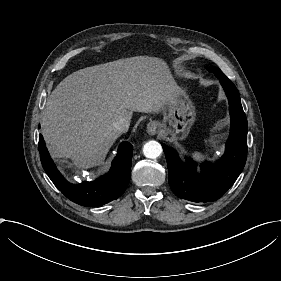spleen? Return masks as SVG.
Instances as JSON below:
<instances>
[{
	"mask_svg": "<svg viewBox=\"0 0 281 281\" xmlns=\"http://www.w3.org/2000/svg\"><path fill=\"white\" fill-rule=\"evenodd\" d=\"M190 157L192 158V160L195 163H198V164H203L206 159V155L203 152H201L200 150L191 151Z\"/></svg>",
	"mask_w": 281,
	"mask_h": 281,
	"instance_id": "3e777b00",
	"label": "spleen"
}]
</instances>
